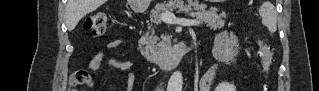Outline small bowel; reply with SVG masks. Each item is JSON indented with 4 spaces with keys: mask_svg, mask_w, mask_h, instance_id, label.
<instances>
[{
    "mask_svg": "<svg viewBox=\"0 0 319 91\" xmlns=\"http://www.w3.org/2000/svg\"><path fill=\"white\" fill-rule=\"evenodd\" d=\"M108 49H121L124 47V42L119 39H112L106 43ZM240 50V41L235 33L230 30L219 31L215 36V45L213 54L218 60L219 64L211 68L200 80L198 85L199 91H210L220 70L224 65L235 63ZM89 69L93 71L103 72L105 74L113 75L121 80L125 91H131L134 68L133 63L127 60H118L108 56L105 52L95 51L88 64ZM114 70L128 71L129 76L124 80L120 75L116 74ZM88 80L85 72H77L74 76V82L79 83L80 79Z\"/></svg>",
    "mask_w": 319,
    "mask_h": 91,
    "instance_id": "1",
    "label": "small bowel"
}]
</instances>
